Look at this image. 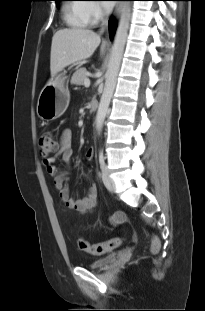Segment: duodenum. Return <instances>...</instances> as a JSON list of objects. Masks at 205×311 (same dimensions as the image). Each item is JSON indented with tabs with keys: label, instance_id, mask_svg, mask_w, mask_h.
I'll return each instance as SVG.
<instances>
[{
	"label": "duodenum",
	"instance_id": "1",
	"mask_svg": "<svg viewBox=\"0 0 205 311\" xmlns=\"http://www.w3.org/2000/svg\"><path fill=\"white\" fill-rule=\"evenodd\" d=\"M90 110L92 113H95L98 110V102L93 101L90 103Z\"/></svg>",
	"mask_w": 205,
	"mask_h": 311
}]
</instances>
